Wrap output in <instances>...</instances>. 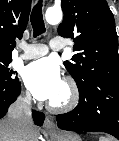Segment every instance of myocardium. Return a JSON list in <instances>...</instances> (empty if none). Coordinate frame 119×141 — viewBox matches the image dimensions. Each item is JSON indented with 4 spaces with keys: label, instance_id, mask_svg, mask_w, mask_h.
I'll return each mask as SVG.
<instances>
[{
    "label": "myocardium",
    "instance_id": "f54148a6",
    "mask_svg": "<svg viewBox=\"0 0 119 141\" xmlns=\"http://www.w3.org/2000/svg\"><path fill=\"white\" fill-rule=\"evenodd\" d=\"M63 85L67 91V96L64 101L59 103L49 102L47 107L51 112L64 113L73 110L79 102V89L71 77H66L63 80Z\"/></svg>",
    "mask_w": 119,
    "mask_h": 141
}]
</instances>
